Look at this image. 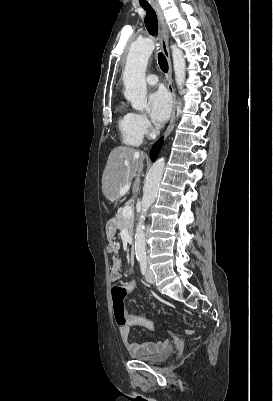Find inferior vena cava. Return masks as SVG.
Segmentation results:
<instances>
[{
  "instance_id": "obj_1",
  "label": "inferior vena cava",
  "mask_w": 273,
  "mask_h": 401,
  "mask_svg": "<svg viewBox=\"0 0 273 401\" xmlns=\"http://www.w3.org/2000/svg\"><path fill=\"white\" fill-rule=\"evenodd\" d=\"M157 132H159V130H155V132H153V134H157Z\"/></svg>"
}]
</instances>
